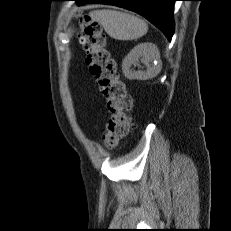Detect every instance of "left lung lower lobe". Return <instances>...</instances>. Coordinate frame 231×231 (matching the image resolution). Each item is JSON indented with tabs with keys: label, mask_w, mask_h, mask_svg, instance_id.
<instances>
[{
	"label": "left lung lower lobe",
	"mask_w": 231,
	"mask_h": 231,
	"mask_svg": "<svg viewBox=\"0 0 231 231\" xmlns=\"http://www.w3.org/2000/svg\"><path fill=\"white\" fill-rule=\"evenodd\" d=\"M78 5L85 3H102L119 6L134 11L156 27H158L170 41L174 32L173 6L177 0H73Z\"/></svg>",
	"instance_id": "0a47b994"
}]
</instances>
